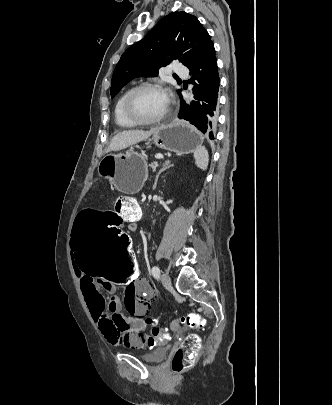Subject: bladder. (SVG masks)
Here are the masks:
<instances>
[{
  "label": "bladder",
  "mask_w": 332,
  "mask_h": 405,
  "mask_svg": "<svg viewBox=\"0 0 332 405\" xmlns=\"http://www.w3.org/2000/svg\"><path fill=\"white\" fill-rule=\"evenodd\" d=\"M168 352L167 346H161L153 351L139 354V358L147 363H159L166 357Z\"/></svg>",
  "instance_id": "obj_1"
}]
</instances>
